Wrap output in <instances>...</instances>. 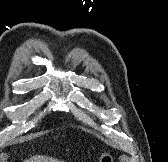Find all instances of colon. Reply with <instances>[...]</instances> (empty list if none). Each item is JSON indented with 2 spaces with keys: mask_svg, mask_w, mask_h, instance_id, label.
<instances>
[{
  "mask_svg": "<svg viewBox=\"0 0 168 162\" xmlns=\"http://www.w3.org/2000/svg\"><path fill=\"white\" fill-rule=\"evenodd\" d=\"M98 162H113V158L109 153H103Z\"/></svg>",
  "mask_w": 168,
  "mask_h": 162,
  "instance_id": "1",
  "label": "colon"
}]
</instances>
